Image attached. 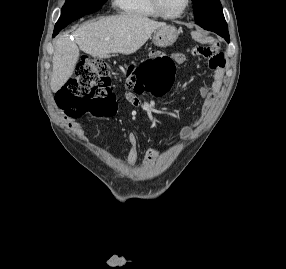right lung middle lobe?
Here are the masks:
<instances>
[{"label": "right lung middle lobe", "instance_id": "obj_1", "mask_svg": "<svg viewBox=\"0 0 286 269\" xmlns=\"http://www.w3.org/2000/svg\"><path fill=\"white\" fill-rule=\"evenodd\" d=\"M107 0H66L54 31H60L72 21L98 11Z\"/></svg>", "mask_w": 286, "mask_h": 269}]
</instances>
